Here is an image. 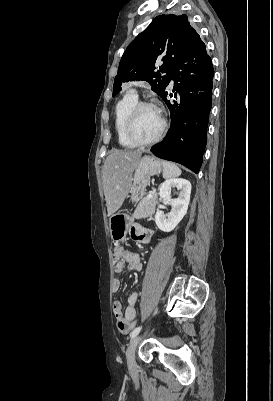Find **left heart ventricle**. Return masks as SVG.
<instances>
[{
    "mask_svg": "<svg viewBox=\"0 0 273 401\" xmlns=\"http://www.w3.org/2000/svg\"><path fill=\"white\" fill-rule=\"evenodd\" d=\"M162 128V116L159 111L143 107L135 117L133 132L140 139H151L155 137Z\"/></svg>",
    "mask_w": 273,
    "mask_h": 401,
    "instance_id": "left-heart-ventricle-1",
    "label": "left heart ventricle"
}]
</instances>
